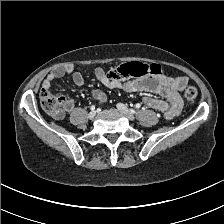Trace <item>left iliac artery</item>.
Masks as SVG:
<instances>
[{"label": "left iliac artery", "mask_w": 224, "mask_h": 224, "mask_svg": "<svg viewBox=\"0 0 224 224\" xmlns=\"http://www.w3.org/2000/svg\"><path fill=\"white\" fill-rule=\"evenodd\" d=\"M140 104H136V108H140ZM131 112H134V110L131 109Z\"/></svg>", "instance_id": "1"}]
</instances>
